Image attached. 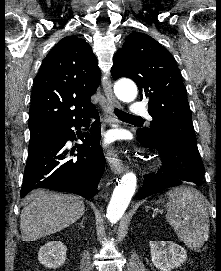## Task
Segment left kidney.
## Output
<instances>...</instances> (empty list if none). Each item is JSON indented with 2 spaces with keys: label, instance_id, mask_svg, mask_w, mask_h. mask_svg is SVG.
<instances>
[{
  "label": "left kidney",
  "instance_id": "obj_1",
  "mask_svg": "<svg viewBox=\"0 0 221 271\" xmlns=\"http://www.w3.org/2000/svg\"><path fill=\"white\" fill-rule=\"evenodd\" d=\"M151 261L160 271H171L186 261V249L174 241H149Z\"/></svg>",
  "mask_w": 221,
  "mask_h": 271
}]
</instances>
